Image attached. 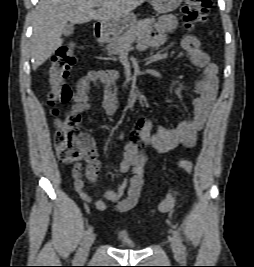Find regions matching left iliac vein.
Returning a JSON list of instances; mask_svg holds the SVG:
<instances>
[{
	"instance_id": "4c4485c4",
	"label": "left iliac vein",
	"mask_w": 254,
	"mask_h": 267,
	"mask_svg": "<svg viewBox=\"0 0 254 267\" xmlns=\"http://www.w3.org/2000/svg\"><path fill=\"white\" fill-rule=\"evenodd\" d=\"M169 240L171 243V248H172L173 253L175 255H179V248H178V245H177L175 239L173 237H171Z\"/></svg>"
}]
</instances>
